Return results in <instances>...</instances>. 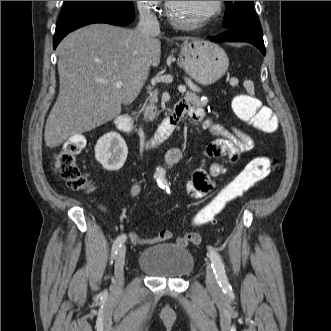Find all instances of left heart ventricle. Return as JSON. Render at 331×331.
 Listing matches in <instances>:
<instances>
[{
	"label": "left heart ventricle",
	"instance_id": "1",
	"mask_svg": "<svg viewBox=\"0 0 331 331\" xmlns=\"http://www.w3.org/2000/svg\"><path fill=\"white\" fill-rule=\"evenodd\" d=\"M172 13L182 22H193L210 13L214 1H171Z\"/></svg>",
	"mask_w": 331,
	"mask_h": 331
}]
</instances>
